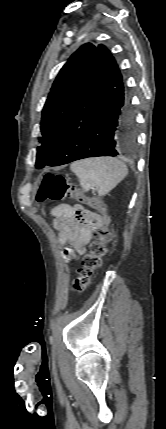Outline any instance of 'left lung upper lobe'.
<instances>
[{"instance_id":"5c2ea615","label":"left lung upper lobe","mask_w":166,"mask_h":429,"mask_svg":"<svg viewBox=\"0 0 166 429\" xmlns=\"http://www.w3.org/2000/svg\"><path fill=\"white\" fill-rule=\"evenodd\" d=\"M96 46L82 45L71 55L56 77L42 111L41 145L37 147L36 168L54 152L68 124L77 100L89 78Z\"/></svg>"}]
</instances>
